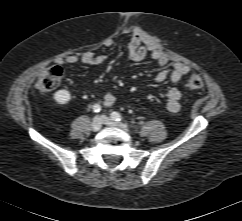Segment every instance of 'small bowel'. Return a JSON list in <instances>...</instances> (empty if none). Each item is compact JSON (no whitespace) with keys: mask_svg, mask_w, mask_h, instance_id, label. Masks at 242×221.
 Wrapping results in <instances>:
<instances>
[{"mask_svg":"<svg viewBox=\"0 0 242 221\" xmlns=\"http://www.w3.org/2000/svg\"><path fill=\"white\" fill-rule=\"evenodd\" d=\"M128 56L135 62L142 61L147 56H150L161 67L154 79L156 83L170 80L173 84H176L190 71L189 67L183 63H175L172 67H169L167 55L156 48L150 38L142 31H135L132 34L128 43ZM104 60V56L87 51L81 56L69 55L58 58L56 63L58 65H73L80 61L88 65H99ZM166 99V110L170 113H177L180 110V90L174 86L169 88L166 93ZM115 100V95L112 92H106L103 96V105L110 107L115 103Z\"/></svg>","mask_w":242,"mask_h":221,"instance_id":"c3829d8e","label":"small bowel"}]
</instances>
